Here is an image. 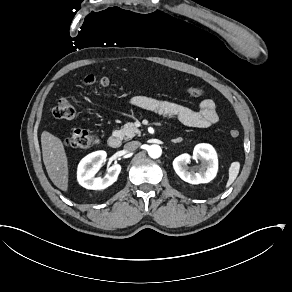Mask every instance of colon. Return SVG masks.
Wrapping results in <instances>:
<instances>
[{"label":"colon","mask_w":292,"mask_h":292,"mask_svg":"<svg viewBox=\"0 0 292 292\" xmlns=\"http://www.w3.org/2000/svg\"><path fill=\"white\" fill-rule=\"evenodd\" d=\"M84 84L93 85L97 82L107 87L110 85L108 78L103 77L99 80L94 75H87L83 79ZM187 93L193 97L201 98L205 95L204 88L199 84H189L187 87ZM53 116L59 120H76V110L72 102L68 98H59L54 109ZM231 138H238L240 132L237 128H231L229 130ZM99 134L93 131L82 130L73 128L67 131L65 135V145L71 149L88 148L96 145L99 142Z\"/></svg>","instance_id":"1"}]
</instances>
